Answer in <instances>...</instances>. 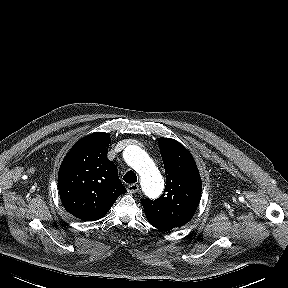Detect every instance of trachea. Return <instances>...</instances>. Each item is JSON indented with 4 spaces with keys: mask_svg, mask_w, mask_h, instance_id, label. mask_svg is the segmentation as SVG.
<instances>
[{
    "mask_svg": "<svg viewBox=\"0 0 288 288\" xmlns=\"http://www.w3.org/2000/svg\"><path fill=\"white\" fill-rule=\"evenodd\" d=\"M123 180L126 182V183H135L137 182V176L136 174L133 172V171H128L124 177H123Z\"/></svg>",
    "mask_w": 288,
    "mask_h": 288,
    "instance_id": "trachea-1",
    "label": "trachea"
}]
</instances>
